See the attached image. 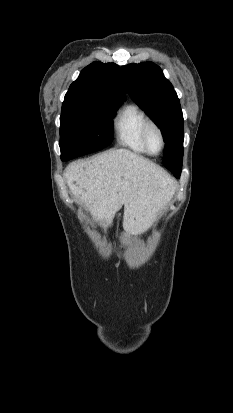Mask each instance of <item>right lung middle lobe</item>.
<instances>
[{"label":"right lung middle lobe","mask_w":233,"mask_h":413,"mask_svg":"<svg viewBox=\"0 0 233 413\" xmlns=\"http://www.w3.org/2000/svg\"><path fill=\"white\" fill-rule=\"evenodd\" d=\"M122 100L65 96L60 117L61 158L101 150L113 139L112 120Z\"/></svg>","instance_id":"right-lung-middle-lobe-1"}]
</instances>
